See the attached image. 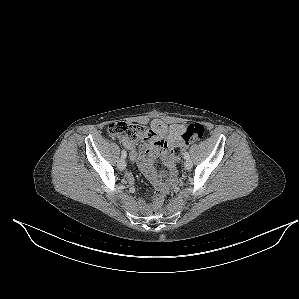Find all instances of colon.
Wrapping results in <instances>:
<instances>
[{"label":"colon","instance_id":"1","mask_svg":"<svg viewBox=\"0 0 299 299\" xmlns=\"http://www.w3.org/2000/svg\"><path fill=\"white\" fill-rule=\"evenodd\" d=\"M205 127L200 123L190 124L186 127L183 133V140L186 144L200 141L205 134ZM109 134L121 140H127L130 142H137L148 134V128L129 122H115L108 127ZM172 198V192L167 188L165 190L157 191L154 197V208L158 209L164 203H167Z\"/></svg>","mask_w":299,"mask_h":299}]
</instances>
